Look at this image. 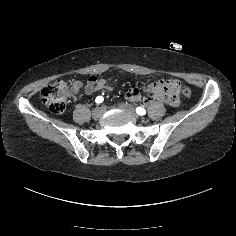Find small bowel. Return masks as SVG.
<instances>
[{
    "instance_id": "c3829d8e",
    "label": "small bowel",
    "mask_w": 236,
    "mask_h": 236,
    "mask_svg": "<svg viewBox=\"0 0 236 236\" xmlns=\"http://www.w3.org/2000/svg\"><path fill=\"white\" fill-rule=\"evenodd\" d=\"M174 87L177 88L175 84H173ZM75 88L78 89L80 87V83H75ZM101 89H108L107 83L105 79H96V78H90L85 86V93L91 94L95 91L101 90ZM127 97L131 100H137L139 98V92L137 89H130L127 92Z\"/></svg>"
}]
</instances>
